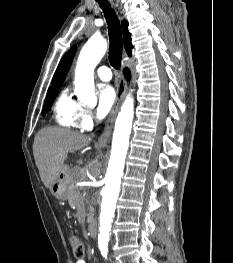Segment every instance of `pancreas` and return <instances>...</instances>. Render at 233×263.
<instances>
[{
	"instance_id": "1",
	"label": "pancreas",
	"mask_w": 233,
	"mask_h": 263,
	"mask_svg": "<svg viewBox=\"0 0 233 263\" xmlns=\"http://www.w3.org/2000/svg\"><path fill=\"white\" fill-rule=\"evenodd\" d=\"M81 181V178L79 174H75L74 177L69 176L68 178V183H69V191H68V201L71 206H76V207H82L84 198L82 194L80 193L81 188L75 186L76 182Z\"/></svg>"
}]
</instances>
